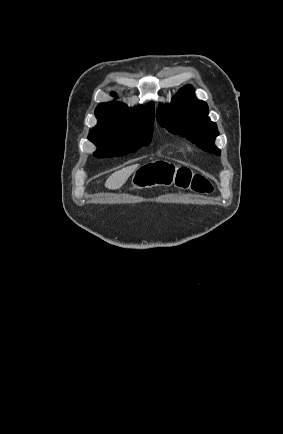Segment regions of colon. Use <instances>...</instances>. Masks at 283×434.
Returning a JSON list of instances; mask_svg holds the SVG:
<instances>
[{
  "instance_id": "1",
  "label": "colon",
  "mask_w": 283,
  "mask_h": 434,
  "mask_svg": "<svg viewBox=\"0 0 283 434\" xmlns=\"http://www.w3.org/2000/svg\"><path fill=\"white\" fill-rule=\"evenodd\" d=\"M134 184L139 189L175 185L184 190L203 194L213 191L212 183L204 174L186 167H175L166 162H154L141 166L136 172Z\"/></svg>"
}]
</instances>
